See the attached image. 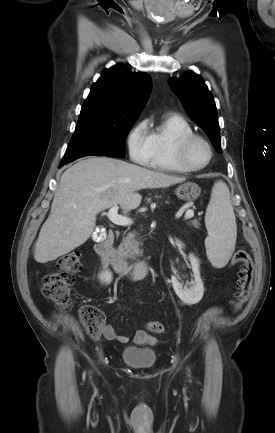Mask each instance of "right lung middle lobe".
<instances>
[{
    "mask_svg": "<svg viewBox=\"0 0 275 433\" xmlns=\"http://www.w3.org/2000/svg\"><path fill=\"white\" fill-rule=\"evenodd\" d=\"M134 121L78 122L61 165L90 155L124 157L125 137Z\"/></svg>",
    "mask_w": 275,
    "mask_h": 433,
    "instance_id": "obj_1",
    "label": "right lung middle lobe"
}]
</instances>
